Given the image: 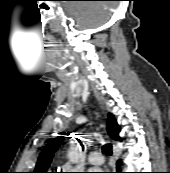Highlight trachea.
Segmentation results:
<instances>
[{
  "label": "trachea",
  "instance_id": "obj_1",
  "mask_svg": "<svg viewBox=\"0 0 170 173\" xmlns=\"http://www.w3.org/2000/svg\"><path fill=\"white\" fill-rule=\"evenodd\" d=\"M102 152L105 154V155H112V145L111 144H105L102 146Z\"/></svg>",
  "mask_w": 170,
  "mask_h": 173
}]
</instances>
